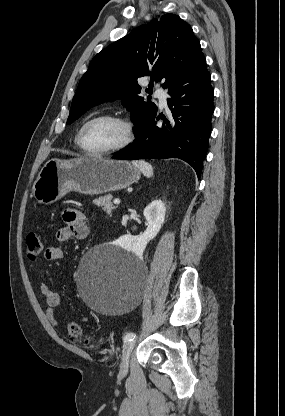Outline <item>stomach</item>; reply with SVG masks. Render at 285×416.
I'll return each instance as SVG.
<instances>
[{
	"label": "stomach",
	"mask_w": 285,
	"mask_h": 416,
	"mask_svg": "<svg viewBox=\"0 0 285 416\" xmlns=\"http://www.w3.org/2000/svg\"><path fill=\"white\" fill-rule=\"evenodd\" d=\"M140 170L125 160L108 158H52L44 164L36 178L32 194L39 204H54L68 192L107 194L118 192L139 180Z\"/></svg>",
	"instance_id": "stomach-1"
}]
</instances>
